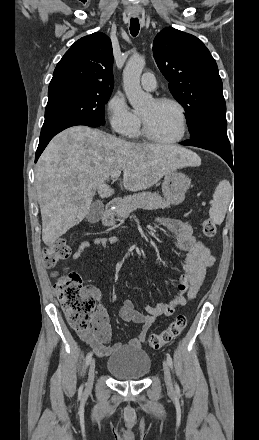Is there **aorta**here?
Wrapping results in <instances>:
<instances>
[{
	"instance_id": "aorta-1",
	"label": "aorta",
	"mask_w": 259,
	"mask_h": 440,
	"mask_svg": "<svg viewBox=\"0 0 259 440\" xmlns=\"http://www.w3.org/2000/svg\"><path fill=\"white\" fill-rule=\"evenodd\" d=\"M145 66V59L135 54L131 56L123 71V85L129 103L135 110L147 107L152 96L145 93L140 86V76Z\"/></svg>"
}]
</instances>
